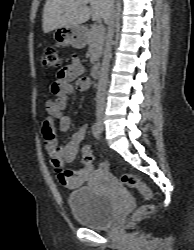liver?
Wrapping results in <instances>:
<instances>
[{"label":"liver","instance_id":"liver-1","mask_svg":"<svg viewBox=\"0 0 194 250\" xmlns=\"http://www.w3.org/2000/svg\"><path fill=\"white\" fill-rule=\"evenodd\" d=\"M114 0H47L43 9L44 33L65 26H76L93 20L106 22ZM90 4V7H88Z\"/></svg>","mask_w":194,"mask_h":250}]
</instances>
